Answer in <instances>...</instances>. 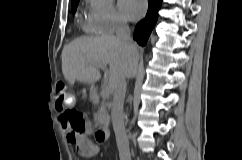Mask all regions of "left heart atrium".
Masks as SVG:
<instances>
[{"mask_svg": "<svg viewBox=\"0 0 242 160\" xmlns=\"http://www.w3.org/2000/svg\"><path fill=\"white\" fill-rule=\"evenodd\" d=\"M119 7L128 20L142 17L146 11V0H119Z\"/></svg>", "mask_w": 242, "mask_h": 160, "instance_id": "1", "label": "left heart atrium"}]
</instances>
